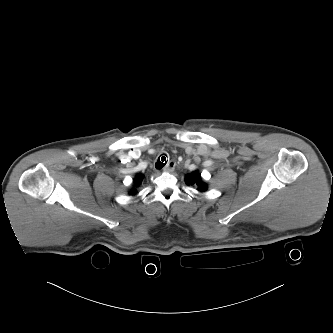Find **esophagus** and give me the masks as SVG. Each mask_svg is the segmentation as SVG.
Returning a JSON list of instances; mask_svg holds the SVG:
<instances>
[{"label": "esophagus", "mask_w": 333, "mask_h": 333, "mask_svg": "<svg viewBox=\"0 0 333 333\" xmlns=\"http://www.w3.org/2000/svg\"><path fill=\"white\" fill-rule=\"evenodd\" d=\"M176 166V162L175 161H169L166 166L163 168V172H173Z\"/></svg>", "instance_id": "obj_1"}]
</instances>
